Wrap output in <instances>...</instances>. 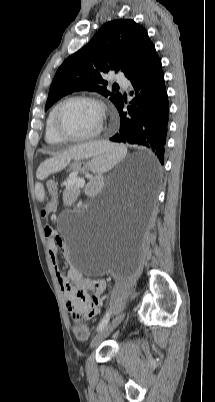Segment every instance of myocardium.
Returning a JSON list of instances; mask_svg holds the SVG:
<instances>
[{"label":"myocardium","mask_w":215,"mask_h":402,"mask_svg":"<svg viewBox=\"0 0 215 402\" xmlns=\"http://www.w3.org/2000/svg\"><path fill=\"white\" fill-rule=\"evenodd\" d=\"M72 101H87V102L96 104L100 108V110L102 112L103 120H102L100 127L95 132H93L91 134H87V135L76 136V135H71L62 129L60 122H59L60 111L66 104H68L69 102H72ZM107 118H108V109H107V106L105 105V103L101 99H99L95 96H91V95H73V96H69V97L63 99L55 106V109L53 112L52 124H53V129H54L55 133L61 139L65 140V141H69V142H86V141L94 140V139L98 138L99 136H101V134L104 131V127H105Z\"/></svg>","instance_id":"f54148a6"}]
</instances>
